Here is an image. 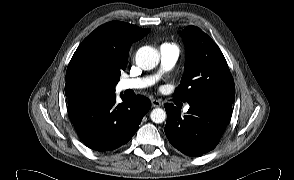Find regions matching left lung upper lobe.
<instances>
[{
    "instance_id": "obj_1",
    "label": "left lung upper lobe",
    "mask_w": 294,
    "mask_h": 180,
    "mask_svg": "<svg viewBox=\"0 0 294 180\" xmlns=\"http://www.w3.org/2000/svg\"><path fill=\"white\" fill-rule=\"evenodd\" d=\"M181 36L186 45V62L174 98L187 103L206 101L232 104L235 85L219 47L196 26L186 27Z\"/></svg>"
}]
</instances>
